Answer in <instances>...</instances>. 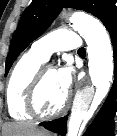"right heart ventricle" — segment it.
<instances>
[{
    "mask_svg": "<svg viewBox=\"0 0 117 136\" xmlns=\"http://www.w3.org/2000/svg\"><path fill=\"white\" fill-rule=\"evenodd\" d=\"M44 60L29 50L13 67L6 86V103L10 116L15 120H29L26 94Z\"/></svg>",
    "mask_w": 117,
    "mask_h": 136,
    "instance_id": "obj_1",
    "label": "right heart ventricle"
}]
</instances>
